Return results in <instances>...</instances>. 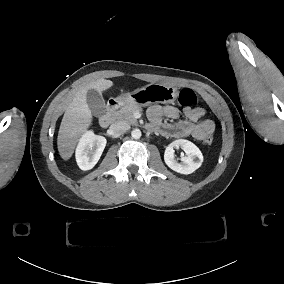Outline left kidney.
<instances>
[{
	"instance_id": "left-kidney-1",
	"label": "left kidney",
	"mask_w": 284,
	"mask_h": 284,
	"mask_svg": "<svg viewBox=\"0 0 284 284\" xmlns=\"http://www.w3.org/2000/svg\"><path fill=\"white\" fill-rule=\"evenodd\" d=\"M173 146L181 148L185 152L186 157L182 158L180 163L174 158ZM164 161L165 164L173 171L188 175L201 167L203 155L199 148L192 142L184 139H178L175 140L172 145L167 147L164 155Z\"/></svg>"
}]
</instances>
